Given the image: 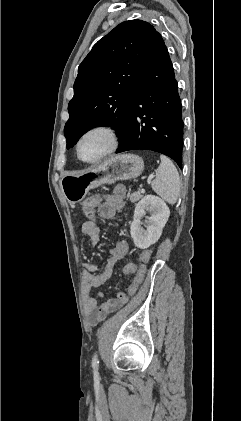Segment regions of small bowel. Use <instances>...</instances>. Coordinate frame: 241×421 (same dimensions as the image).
I'll use <instances>...</instances> for the list:
<instances>
[{
  "label": "small bowel",
  "mask_w": 241,
  "mask_h": 421,
  "mask_svg": "<svg viewBox=\"0 0 241 421\" xmlns=\"http://www.w3.org/2000/svg\"><path fill=\"white\" fill-rule=\"evenodd\" d=\"M125 196V186L117 185L113 189V192L106 195L104 201L98 206V216L103 219L113 218L116 212L123 207ZM81 231L90 239L92 246H96L99 243L100 228L95 221H85L81 226ZM128 253V242L126 240H119L110 250V255L100 271L96 264L87 263L84 265L82 300L86 317L91 325H96L110 313L120 309L128 301V296L120 292L115 297L108 298L99 304L97 298L91 294L92 289L102 286L109 280L116 263ZM98 295L101 296L102 294Z\"/></svg>",
  "instance_id": "small-bowel-1"
}]
</instances>
